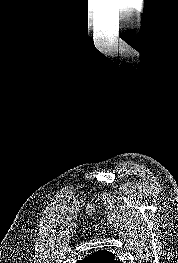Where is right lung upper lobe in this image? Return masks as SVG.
Segmentation results:
<instances>
[{
  "instance_id": "obj_1",
  "label": "right lung upper lobe",
  "mask_w": 178,
  "mask_h": 263,
  "mask_svg": "<svg viewBox=\"0 0 178 263\" xmlns=\"http://www.w3.org/2000/svg\"><path fill=\"white\" fill-rule=\"evenodd\" d=\"M77 263H119L115 259V255L104 250L94 252L91 255L85 257L82 260L77 261Z\"/></svg>"
}]
</instances>
